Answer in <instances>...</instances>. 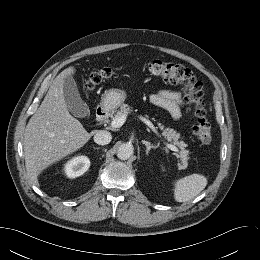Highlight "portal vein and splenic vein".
Listing matches in <instances>:
<instances>
[{
	"instance_id": "1",
	"label": "portal vein and splenic vein",
	"mask_w": 260,
	"mask_h": 260,
	"mask_svg": "<svg viewBox=\"0 0 260 260\" xmlns=\"http://www.w3.org/2000/svg\"><path fill=\"white\" fill-rule=\"evenodd\" d=\"M126 116L127 115H121V116H119V117H117V118H115L112 122H111V127L112 128H119V127H121L124 123H125V121H126ZM141 120L148 126V127H150L155 133H157V131L155 130V127L152 125V123L149 121V120H147L146 118H143V117H141ZM166 146H167V148H169L170 150H172V151H175V152H178V148L176 147V146H174V145H172V144H166Z\"/></svg>"
}]
</instances>
